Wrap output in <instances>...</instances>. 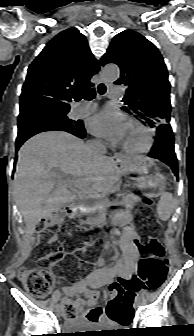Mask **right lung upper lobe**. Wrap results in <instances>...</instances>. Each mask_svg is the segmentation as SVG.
Masks as SVG:
<instances>
[{"instance_id":"obj_1","label":"right lung upper lobe","mask_w":194,"mask_h":336,"mask_svg":"<svg viewBox=\"0 0 194 336\" xmlns=\"http://www.w3.org/2000/svg\"><path fill=\"white\" fill-rule=\"evenodd\" d=\"M98 70L85 36L76 28L60 32L29 66L19 117L42 109H70L71 98L93 85L90 78Z\"/></svg>"}]
</instances>
